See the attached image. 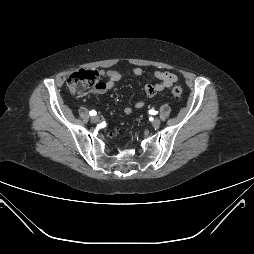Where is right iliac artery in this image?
Returning a JSON list of instances; mask_svg holds the SVG:
<instances>
[{
  "mask_svg": "<svg viewBox=\"0 0 254 254\" xmlns=\"http://www.w3.org/2000/svg\"><path fill=\"white\" fill-rule=\"evenodd\" d=\"M89 113H90L91 116L96 115V111L95 110H91Z\"/></svg>",
  "mask_w": 254,
  "mask_h": 254,
  "instance_id": "1",
  "label": "right iliac artery"
}]
</instances>
